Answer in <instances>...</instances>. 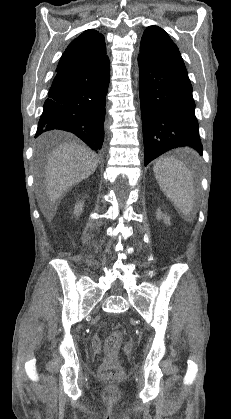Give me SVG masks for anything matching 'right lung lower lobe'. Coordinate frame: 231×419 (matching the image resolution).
Returning a JSON list of instances; mask_svg holds the SVG:
<instances>
[{
  "label": "right lung lower lobe",
  "mask_w": 231,
  "mask_h": 419,
  "mask_svg": "<svg viewBox=\"0 0 231 419\" xmlns=\"http://www.w3.org/2000/svg\"><path fill=\"white\" fill-rule=\"evenodd\" d=\"M109 60L95 66L57 70L44 103L36 136L61 129L100 152L104 139Z\"/></svg>",
  "instance_id": "1"
}]
</instances>
